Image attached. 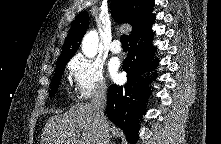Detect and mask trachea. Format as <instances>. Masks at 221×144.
<instances>
[{
  "label": "trachea",
  "instance_id": "3493384b",
  "mask_svg": "<svg viewBox=\"0 0 221 144\" xmlns=\"http://www.w3.org/2000/svg\"><path fill=\"white\" fill-rule=\"evenodd\" d=\"M120 41H121L122 47H128V36L127 35L123 34L120 37Z\"/></svg>",
  "mask_w": 221,
  "mask_h": 144
}]
</instances>
